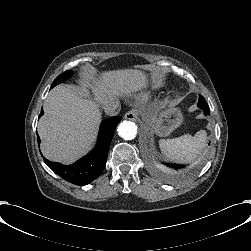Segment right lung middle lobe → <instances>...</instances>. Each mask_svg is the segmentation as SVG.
Returning a JSON list of instances; mask_svg holds the SVG:
<instances>
[{"mask_svg": "<svg viewBox=\"0 0 251 251\" xmlns=\"http://www.w3.org/2000/svg\"><path fill=\"white\" fill-rule=\"evenodd\" d=\"M73 74L72 70L65 71L64 73L60 74L52 83L51 89L55 87L56 85L64 82L66 79H68Z\"/></svg>", "mask_w": 251, "mask_h": 251, "instance_id": "obj_1", "label": "right lung middle lobe"}]
</instances>
